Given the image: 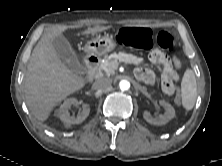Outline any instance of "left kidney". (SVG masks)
I'll use <instances>...</instances> for the list:
<instances>
[{"mask_svg":"<svg viewBox=\"0 0 222 166\" xmlns=\"http://www.w3.org/2000/svg\"><path fill=\"white\" fill-rule=\"evenodd\" d=\"M159 104L165 109V113L153 118L149 112L143 113V118L153 125H165L175 117V109L168 102L161 100Z\"/></svg>","mask_w":222,"mask_h":166,"instance_id":"1","label":"left kidney"}]
</instances>
